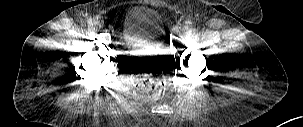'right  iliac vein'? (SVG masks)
<instances>
[{"instance_id":"obj_1","label":"right iliac vein","mask_w":303,"mask_h":127,"mask_svg":"<svg viewBox=\"0 0 303 127\" xmlns=\"http://www.w3.org/2000/svg\"><path fill=\"white\" fill-rule=\"evenodd\" d=\"M103 25H104V23H103L102 21H100V20L96 22V26H97L98 28L103 27Z\"/></svg>"}]
</instances>
